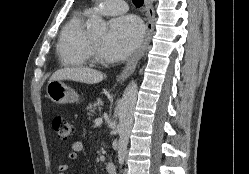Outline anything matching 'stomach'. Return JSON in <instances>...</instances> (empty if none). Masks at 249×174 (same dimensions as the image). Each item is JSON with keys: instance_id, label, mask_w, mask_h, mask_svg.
I'll return each instance as SVG.
<instances>
[{"instance_id": "obj_1", "label": "stomach", "mask_w": 249, "mask_h": 174, "mask_svg": "<svg viewBox=\"0 0 249 174\" xmlns=\"http://www.w3.org/2000/svg\"><path fill=\"white\" fill-rule=\"evenodd\" d=\"M48 97L56 104L79 101V95L60 80L50 81L46 87Z\"/></svg>"}]
</instances>
